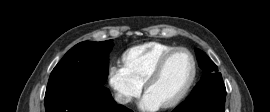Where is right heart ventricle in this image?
Returning a JSON list of instances; mask_svg holds the SVG:
<instances>
[{"instance_id": "right-heart-ventricle-1", "label": "right heart ventricle", "mask_w": 270, "mask_h": 112, "mask_svg": "<svg viewBox=\"0 0 270 112\" xmlns=\"http://www.w3.org/2000/svg\"><path fill=\"white\" fill-rule=\"evenodd\" d=\"M175 48L171 44L147 42L128 49L123 55L124 66L141 84H144L158 60Z\"/></svg>"}]
</instances>
